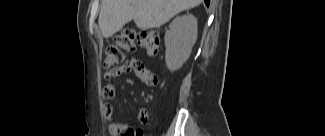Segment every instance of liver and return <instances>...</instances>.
<instances>
[{
	"label": "liver",
	"instance_id": "1",
	"mask_svg": "<svg viewBox=\"0 0 325 136\" xmlns=\"http://www.w3.org/2000/svg\"><path fill=\"white\" fill-rule=\"evenodd\" d=\"M202 0H102L98 24L109 38L134 20L141 30L159 28L181 11L198 6Z\"/></svg>",
	"mask_w": 325,
	"mask_h": 136
}]
</instances>
